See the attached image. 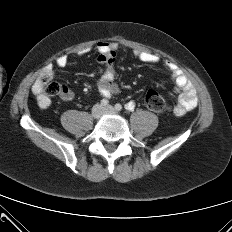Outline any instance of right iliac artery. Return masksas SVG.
<instances>
[{
  "label": "right iliac artery",
  "mask_w": 232,
  "mask_h": 232,
  "mask_svg": "<svg viewBox=\"0 0 232 232\" xmlns=\"http://www.w3.org/2000/svg\"><path fill=\"white\" fill-rule=\"evenodd\" d=\"M108 103H109V101H108L107 99L101 100V105H102V106H107Z\"/></svg>",
  "instance_id": "82829eb1"
}]
</instances>
